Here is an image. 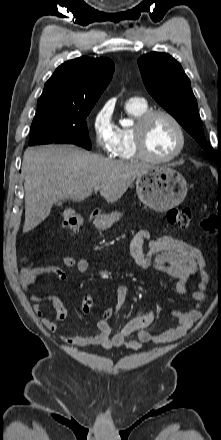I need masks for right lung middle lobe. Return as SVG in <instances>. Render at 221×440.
<instances>
[{
	"mask_svg": "<svg viewBox=\"0 0 221 440\" xmlns=\"http://www.w3.org/2000/svg\"><path fill=\"white\" fill-rule=\"evenodd\" d=\"M93 105L74 106L57 101L38 103L29 145L69 143L91 149L86 118Z\"/></svg>",
	"mask_w": 221,
	"mask_h": 440,
	"instance_id": "obj_1",
	"label": "right lung middle lobe"
}]
</instances>
